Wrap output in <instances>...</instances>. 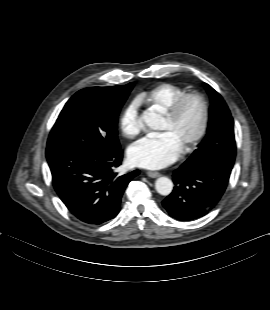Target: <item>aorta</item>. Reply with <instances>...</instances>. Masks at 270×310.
<instances>
[{
    "label": "aorta",
    "mask_w": 270,
    "mask_h": 310,
    "mask_svg": "<svg viewBox=\"0 0 270 310\" xmlns=\"http://www.w3.org/2000/svg\"><path fill=\"white\" fill-rule=\"evenodd\" d=\"M142 119L153 130H160L164 122L163 117L155 112L145 113ZM155 189L160 195L167 196L173 190V182L167 177H160L156 180Z\"/></svg>",
    "instance_id": "762f6f07"
}]
</instances>
